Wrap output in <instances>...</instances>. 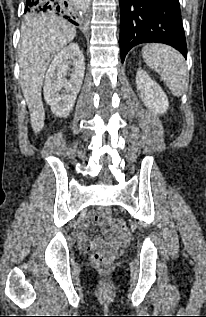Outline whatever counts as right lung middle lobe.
<instances>
[{"instance_id": "1", "label": "right lung middle lobe", "mask_w": 206, "mask_h": 317, "mask_svg": "<svg viewBox=\"0 0 206 317\" xmlns=\"http://www.w3.org/2000/svg\"><path fill=\"white\" fill-rule=\"evenodd\" d=\"M38 13H41V12H38ZM38 13L27 14V18L35 17L36 15H38Z\"/></svg>"}]
</instances>
